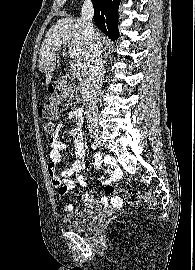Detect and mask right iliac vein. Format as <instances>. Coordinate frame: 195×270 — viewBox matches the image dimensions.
<instances>
[{"label":"right iliac vein","mask_w":195,"mask_h":270,"mask_svg":"<svg viewBox=\"0 0 195 270\" xmlns=\"http://www.w3.org/2000/svg\"><path fill=\"white\" fill-rule=\"evenodd\" d=\"M91 137L93 138V140L96 143V145H98L99 147L102 146L101 136H100V134H99L98 131L92 132Z\"/></svg>","instance_id":"obj_1"}]
</instances>
